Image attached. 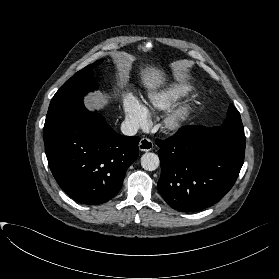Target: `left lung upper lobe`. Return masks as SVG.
Here are the masks:
<instances>
[{"instance_id": "left-lung-upper-lobe-1", "label": "left lung upper lobe", "mask_w": 279, "mask_h": 279, "mask_svg": "<svg viewBox=\"0 0 279 279\" xmlns=\"http://www.w3.org/2000/svg\"><path fill=\"white\" fill-rule=\"evenodd\" d=\"M222 126L240 134H244V128L240 118V113L233 105L229 106L227 118L225 119Z\"/></svg>"}]
</instances>
